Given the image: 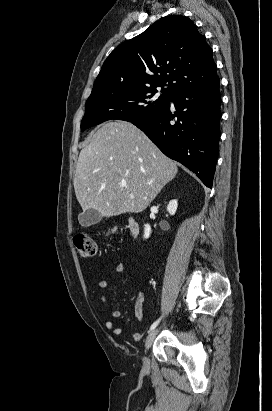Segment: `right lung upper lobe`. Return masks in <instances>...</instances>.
<instances>
[{
    "label": "right lung upper lobe",
    "mask_w": 272,
    "mask_h": 411,
    "mask_svg": "<svg viewBox=\"0 0 272 411\" xmlns=\"http://www.w3.org/2000/svg\"><path fill=\"white\" fill-rule=\"evenodd\" d=\"M218 78L207 45L193 22L181 15L162 18L115 48L104 62L92 92L119 87H163L172 95Z\"/></svg>",
    "instance_id": "cb5924a9"
}]
</instances>
